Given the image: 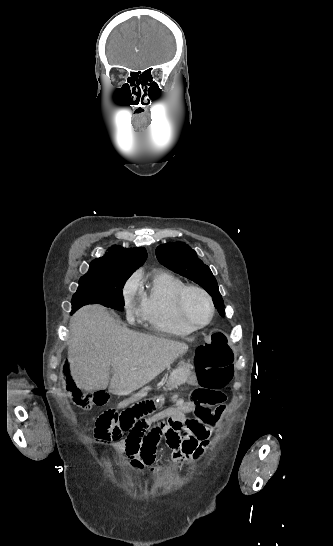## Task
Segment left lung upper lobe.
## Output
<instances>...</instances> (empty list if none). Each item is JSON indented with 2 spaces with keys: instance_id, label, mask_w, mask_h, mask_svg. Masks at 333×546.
Segmentation results:
<instances>
[{
  "instance_id": "left-lung-upper-lobe-1",
  "label": "left lung upper lobe",
  "mask_w": 333,
  "mask_h": 546,
  "mask_svg": "<svg viewBox=\"0 0 333 546\" xmlns=\"http://www.w3.org/2000/svg\"><path fill=\"white\" fill-rule=\"evenodd\" d=\"M156 256L162 265L204 288L212 296L220 315H225L217 281L210 268L197 257L194 250L183 242L167 243L157 247Z\"/></svg>"
}]
</instances>
